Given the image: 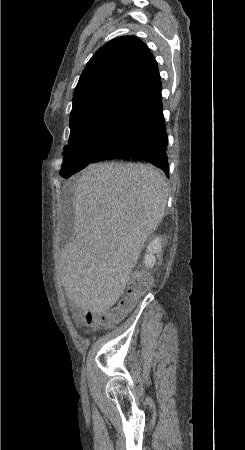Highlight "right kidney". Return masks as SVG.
<instances>
[{
  "label": "right kidney",
  "mask_w": 245,
  "mask_h": 450,
  "mask_svg": "<svg viewBox=\"0 0 245 450\" xmlns=\"http://www.w3.org/2000/svg\"><path fill=\"white\" fill-rule=\"evenodd\" d=\"M162 244H161V238L157 237L154 238L147 247V254L144 257V263L147 268H152L156 263V257L154 254H157V257H159V253L161 252Z\"/></svg>",
  "instance_id": "1"
}]
</instances>
